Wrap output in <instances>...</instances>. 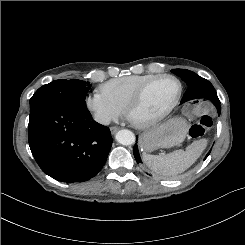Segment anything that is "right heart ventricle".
I'll use <instances>...</instances> for the list:
<instances>
[{
	"label": "right heart ventricle",
	"instance_id": "e07e8e85",
	"mask_svg": "<svg viewBox=\"0 0 245 245\" xmlns=\"http://www.w3.org/2000/svg\"><path fill=\"white\" fill-rule=\"evenodd\" d=\"M154 74L131 75L111 79L101 85L100 89L111 101L123 110L137 92L147 81L157 77Z\"/></svg>",
	"mask_w": 245,
	"mask_h": 245
}]
</instances>
